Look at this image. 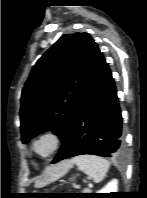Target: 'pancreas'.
<instances>
[{"label":"pancreas","instance_id":"obj_1","mask_svg":"<svg viewBox=\"0 0 147 198\" xmlns=\"http://www.w3.org/2000/svg\"><path fill=\"white\" fill-rule=\"evenodd\" d=\"M84 193H90V189H85Z\"/></svg>","mask_w":147,"mask_h":198}]
</instances>
